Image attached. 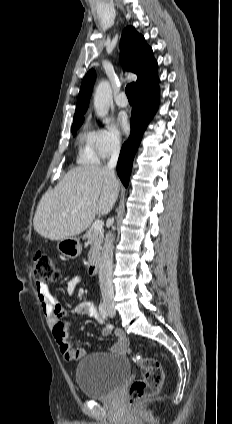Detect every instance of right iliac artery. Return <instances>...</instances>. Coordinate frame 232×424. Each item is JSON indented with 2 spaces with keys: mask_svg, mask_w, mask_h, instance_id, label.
I'll list each match as a JSON object with an SVG mask.
<instances>
[{
  "mask_svg": "<svg viewBox=\"0 0 232 424\" xmlns=\"http://www.w3.org/2000/svg\"><path fill=\"white\" fill-rule=\"evenodd\" d=\"M99 313L104 320H107L108 314H107V311H106V305L102 302L99 305Z\"/></svg>",
  "mask_w": 232,
  "mask_h": 424,
  "instance_id": "1",
  "label": "right iliac artery"
}]
</instances>
